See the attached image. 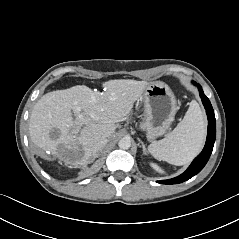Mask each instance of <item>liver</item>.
I'll return each instance as SVG.
<instances>
[{
    "instance_id": "liver-1",
    "label": "liver",
    "mask_w": 239,
    "mask_h": 239,
    "mask_svg": "<svg viewBox=\"0 0 239 239\" xmlns=\"http://www.w3.org/2000/svg\"><path fill=\"white\" fill-rule=\"evenodd\" d=\"M148 85L146 81L119 79L103 83L102 93L85 85L48 92L31 112L30 140L46 159L45 152L61 157L66 146L71 145L77 157L65 162L85 165L98 152L97 142L114 135V123L132 111Z\"/></svg>"
}]
</instances>
